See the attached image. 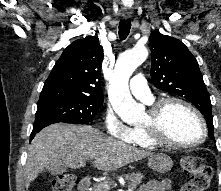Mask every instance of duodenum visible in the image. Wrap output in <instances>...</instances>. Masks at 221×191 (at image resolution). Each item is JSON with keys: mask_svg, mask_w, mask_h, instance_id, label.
<instances>
[{"mask_svg": "<svg viewBox=\"0 0 221 191\" xmlns=\"http://www.w3.org/2000/svg\"><path fill=\"white\" fill-rule=\"evenodd\" d=\"M93 183L91 176H85L78 185V191H89Z\"/></svg>", "mask_w": 221, "mask_h": 191, "instance_id": "410a0bca", "label": "duodenum"}]
</instances>
